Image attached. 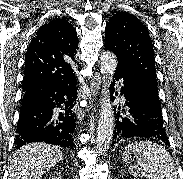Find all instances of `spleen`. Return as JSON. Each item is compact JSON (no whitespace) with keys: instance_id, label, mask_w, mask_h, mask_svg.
Wrapping results in <instances>:
<instances>
[{"instance_id":"3e777b00","label":"spleen","mask_w":183,"mask_h":179,"mask_svg":"<svg viewBox=\"0 0 183 179\" xmlns=\"http://www.w3.org/2000/svg\"><path fill=\"white\" fill-rule=\"evenodd\" d=\"M133 155L138 165L129 166ZM123 161L129 173L148 179H177V170L170 153L161 145L151 141H136L126 146Z\"/></svg>"}]
</instances>
